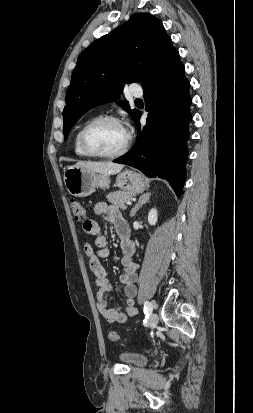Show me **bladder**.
<instances>
[{"label": "bladder", "instance_id": "obj_1", "mask_svg": "<svg viewBox=\"0 0 253 413\" xmlns=\"http://www.w3.org/2000/svg\"><path fill=\"white\" fill-rule=\"evenodd\" d=\"M119 358L121 361L132 367H142L149 362V358L146 355L135 352H121Z\"/></svg>", "mask_w": 253, "mask_h": 413}]
</instances>
